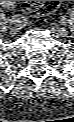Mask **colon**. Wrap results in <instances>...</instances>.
Instances as JSON below:
<instances>
[{
    "label": "colon",
    "instance_id": "1",
    "mask_svg": "<svg viewBox=\"0 0 74 122\" xmlns=\"http://www.w3.org/2000/svg\"><path fill=\"white\" fill-rule=\"evenodd\" d=\"M60 1H24V10L31 15H43L55 9Z\"/></svg>",
    "mask_w": 74,
    "mask_h": 122
}]
</instances>
